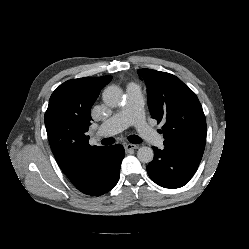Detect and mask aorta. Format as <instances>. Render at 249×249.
Masks as SVG:
<instances>
[{"label": "aorta", "instance_id": "1", "mask_svg": "<svg viewBox=\"0 0 249 249\" xmlns=\"http://www.w3.org/2000/svg\"><path fill=\"white\" fill-rule=\"evenodd\" d=\"M104 103L109 107H117L123 100V91L121 88L115 85L105 88L102 94ZM137 157L139 161L143 163H149L153 160L154 152L152 148L142 146L137 151Z\"/></svg>", "mask_w": 249, "mask_h": 249}]
</instances>
